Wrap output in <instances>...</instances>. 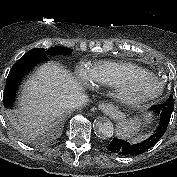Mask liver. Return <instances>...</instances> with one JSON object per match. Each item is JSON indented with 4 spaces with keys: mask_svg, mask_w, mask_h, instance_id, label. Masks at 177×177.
Here are the masks:
<instances>
[{
    "mask_svg": "<svg viewBox=\"0 0 177 177\" xmlns=\"http://www.w3.org/2000/svg\"><path fill=\"white\" fill-rule=\"evenodd\" d=\"M81 85L61 65H41L25 82L19 101L20 127L37 134L62 116L61 99L73 91H81Z\"/></svg>",
    "mask_w": 177,
    "mask_h": 177,
    "instance_id": "1",
    "label": "liver"
}]
</instances>
